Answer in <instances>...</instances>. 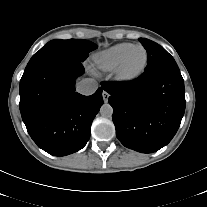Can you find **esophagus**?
<instances>
[{
  "label": "esophagus",
  "mask_w": 207,
  "mask_h": 207,
  "mask_svg": "<svg viewBox=\"0 0 207 207\" xmlns=\"http://www.w3.org/2000/svg\"><path fill=\"white\" fill-rule=\"evenodd\" d=\"M109 96L110 95H109L108 92H106V91L102 92V97H103V100H104L105 103L108 101Z\"/></svg>",
  "instance_id": "1"
}]
</instances>
